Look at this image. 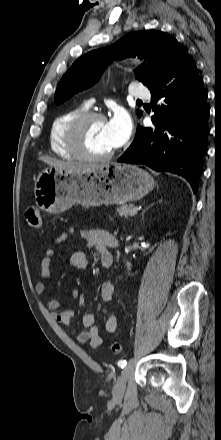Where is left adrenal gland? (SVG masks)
Listing matches in <instances>:
<instances>
[{"instance_id":"left-adrenal-gland-1","label":"left adrenal gland","mask_w":221,"mask_h":440,"mask_svg":"<svg viewBox=\"0 0 221 440\" xmlns=\"http://www.w3.org/2000/svg\"><path fill=\"white\" fill-rule=\"evenodd\" d=\"M160 202H162V200H159V203H160ZM152 205H154V204H152ZM144 212H145V210L143 211L142 216H143Z\"/></svg>"}]
</instances>
